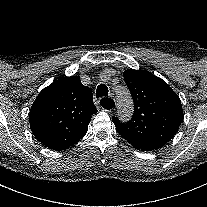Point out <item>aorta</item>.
I'll return each instance as SVG.
<instances>
[{"label":"aorta","instance_id":"obj_1","mask_svg":"<svg viewBox=\"0 0 207 207\" xmlns=\"http://www.w3.org/2000/svg\"><path fill=\"white\" fill-rule=\"evenodd\" d=\"M117 93L118 115L123 121H128L133 113V102L129 91L126 88L119 87Z\"/></svg>","mask_w":207,"mask_h":207}]
</instances>
